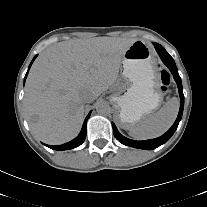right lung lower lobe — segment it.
I'll use <instances>...</instances> for the list:
<instances>
[{
    "mask_svg": "<svg viewBox=\"0 0 207 207\" xmlns=\"http://www.w3.org/2000/svg\"><path fill=\"white\" fill-rule=\"evenodd\" d=\"M36 57H37V55L33 58L30 66L28 68V71H29V69H30V67ZM28 71L26 73L25 79L27 77ZM25 79H24V81H25ZM89 116H90V113L88 114V116L86 117V119L83 123L82 130H81L80 134L75 139H73L72 141L65 143L63 145H46V146L53 149V150H68V149H72V148H76V147L80 146L86 138V133H87L86 124H87V119L89 118Z\"/></svg>",
    "mask_w": 207,
    "mask_h": 207,
    "instance_id": "right-lung-lower-lobe-1",
    "label": "right lung lower lobe"
}]
</instances>
